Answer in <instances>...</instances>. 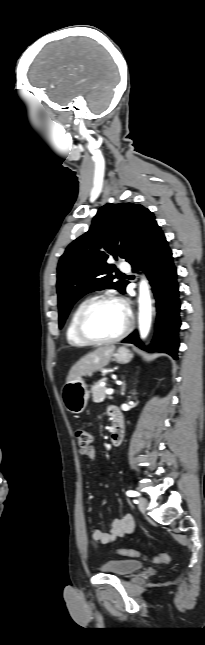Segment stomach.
Wrapping results in <instances>:
<instances>
[{"instance_id": "obj_1", "label": "stomach", "mask_w": 205, "mask_h": 645, "mask_svg": "<svg viewBox=\"0 0 205 645\" xmlns=\"http://www.w3.org/2000/svg\"><path fill=\"white\" fill-rule=\"evenodd\" d=\"M113 358L120 364H127L133 358V354L125 347H120ZM89 399L87 385L82 378L66 382L62 388V400L67 411L79 414L84 411Z\"/></svg>"}]
</instances>
